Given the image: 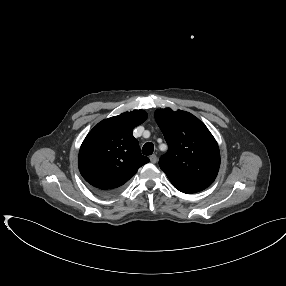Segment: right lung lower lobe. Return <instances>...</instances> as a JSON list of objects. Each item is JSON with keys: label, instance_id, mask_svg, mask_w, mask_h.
<instances>
[{"label": "right lung lower lobe", "instance_id": "obj_1", "mask_svg": "<svg viewBox=\"0 0 286 286\" xmlns=\"http://www.w3.org/2000/svg\"><path fill=\"white\" fill-rule=\"evenodd\" d=\"M94 192L99 194V195H102V196H107V195H111V194L116 193V192H103V191H99V190H96V189H94Z\"/></svg>", "mask_w": 286, "mask_h": 286}]
</instances>
